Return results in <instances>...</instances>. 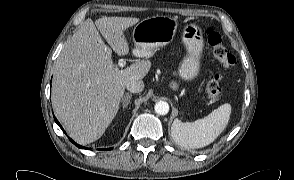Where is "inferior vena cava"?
Masks as SVG:
<instances>
[{"label": "inferior vena cava", "instance_id": "inferior-vena-cava-1", "mask_svg": "<svg viewBox=\"0 0 294 180\" xmlns=\"http://www.w3.org/2000/svg\"><path fill=\"white\" fill-rule=\"evenodd\" d=\"M126 88L128 91L132 93H140L144 89V82L142 80H130L126 84Z\"/></svg>", "mask_w": 294, "mask_h": 180}]
</instances>
